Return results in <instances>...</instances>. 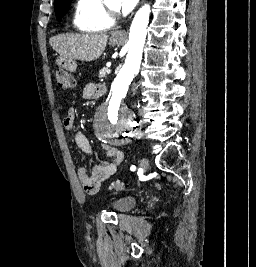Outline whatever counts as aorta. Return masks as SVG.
Here are the masks:
<instances>
[{
	"mask_svg": "<svg viewBox=\"0 0 256 267\" xmlns=\"http://www.w3.org/2000/svg\"><path fill=\"white\" fill-rule=\"evenodd\" d=\"M151 8L144 4L134 16L129 30L128 54L121 72L113 81L111 92L107 101H103L101 108H96V122L94 127H131L134 117H131V108L121 104L127 91L128 83L138 72L142 60V52L147 34ZM93 138H102V143H131V138H121V133H126V128H91Z\"/></svg>",
	"mask_w": 256,
	"mask_h": 267,
	"instance_id": "obj_1",
	"label": "aorta"
}]
</instances>
